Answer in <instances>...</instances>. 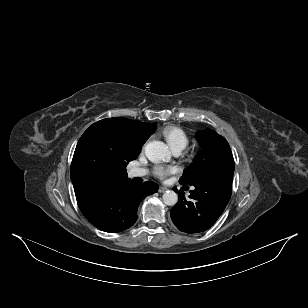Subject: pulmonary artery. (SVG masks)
Listing matches in <instances>:
<instances>
[{
	"instance_id": "obj_1",
	"label": "pulmonary artery",
	"mask_w": 308,
	"mask_h": 308,
	"mask_svg": "<svg viewBox=\"0 0 308 308\" xmlns=\"http://www.w3.org/2000/svg\"><path fill=\"white\" fill-rule=\"evenodd\" d=\"M182 149L180 148H175L173 149L174 154L178 155L181 152ZM147 174V170L145 168H139V167H135L130 169L129 171V176L130 177H142L145 176Z\"/></svg>"
}]
</instances>
